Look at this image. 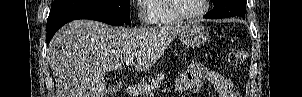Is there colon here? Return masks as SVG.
Returning <instances> with one entry per match:
<instances>
[{
  "label": "colon",
  "mask_w": 302,
  "mask_h": 97,
  "mask_svg": "<svg viewBox=\"0 0 302 97\" xmlns=\"http://www.w3.org/2000/svg\"><path fill=\"white\" fill-rule=\"evenodd\" d=\"M246 56L244 49H234L229 53V63L231 65H240L245 61Z\"/></svg>",
  "instance_id": "colon-1"
}]
</instances>
